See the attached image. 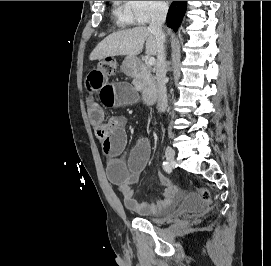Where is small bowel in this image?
<instances>
[{
	"mask_svg": "<svg viewBox=\"0 0 271 266\" xmlns=\"http://www.w3.org/2000/svg\"><path fill=\"white\" fill-rule=\"evenodd\" d=\"M109 78L110 76L102 70L94 68L86 80L89 93H98L104 106L119 107L137 100L136 93L128 82H111ZM87 113L95 136L101 141L108 156V179L122 194L124 205L141 215L155 214L173 207L181 198V191L161 173L158 176V183L163 187L161 200L150 203L134 198L132 186L138 182L146 165L149 155L148 142L139 141L125 160L121 154L127 142L126 119L123 116H115L105 122L101 105L92 98L88 101Z\"/></svg>",
	"mask_w": 271,
	"mask_h": 266,
	"instance_id": "obj_1",
	"label": "small bowel"
}]
</instances>
